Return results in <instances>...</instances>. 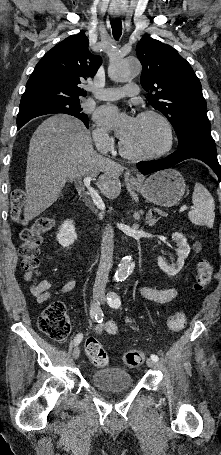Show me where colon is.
I'll use <instances>...</instances> for the list:
<instances>
[{
    "instance_id": "obj_1",
    "label": "colon",
    "mask_w": 221,
    "mask_h": 455,
    "mask_svg": "<svg viewBox=\"0 0 221 455\" xmlns=\"http://www.w3.org/2000/svg\"><path fill=\"white\" fill-rule=\"evenodd\" d=\"M26 201V194L23 189L16 188L11 193L10 216L13 220L23 223L22 208ZM55 224L52 216H43L36 219L30 226L25 227L21 232L22 244L19 248L21 266L25 271L28 281L34 280L39 275V246L43 236L48 233ZM212 278V267L206 260L198 264L194 288L202 290ZM167 327L173 332L180 331L185 324V317L182 312H176L168 316ZM40 330L53 340H64L68 337L71 324L66 306L62 302H53L48 305L40 314L38 319ZM85 352L97 367L107 365L109 358L106 350L95 337H89L85 341ZM143 353L129 351L122 355V362L126 367L134 368L142 364Z\"/></svg>"
}]
</instances>
